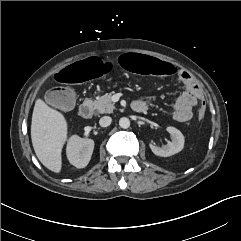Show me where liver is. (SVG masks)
Listing matches in <instances>:
<instances>
[{
    "label": "liver",
    "instance_id": "obj_1",
    "mask_svg": "<svg viewBox=\"0 0 241 241\" xmlns=\"http://www.w3.org/2000/svg\"><path fill=\"white\" fill-rule=\"evenodd\" d=\"M31 139L39 161L49 170L62 168V147L67 140V121L63 114L38 99L32 114Z\"/></svg>",
    "mask_w": 241,
    "mask_h": 241
}]
</instances>
